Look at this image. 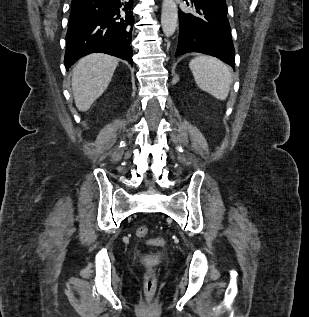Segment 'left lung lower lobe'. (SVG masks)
<instances>
[{
    "label": "left lung lower lobe",
    "mask_w": 309,
    "mask_h": 317,
    "mask_svg": "<svg viewBox=\"0 0 309 317\" xmlns=\"http://www.w3.org/2000/svg\"><path fill=\"white\" fill-rule=\"evenodd\" d=\"M193 13L179 11L176 56L200 52L221 59L235 68V50L227 7L192 2Z\"/></svg>",
    "instance_id": "1"
}]
</instances>
